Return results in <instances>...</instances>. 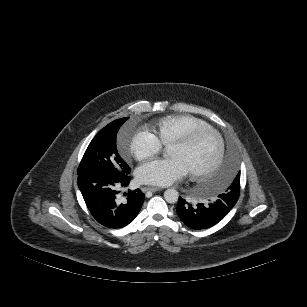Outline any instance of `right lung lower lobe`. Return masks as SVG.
I'll return each mask as SVG.
<instances>
[{
    "mask_svg": "<svg viewBox=\"0 0 307 307\" xmlns=\"http://www.w3.org/2000/svg\"><path fill=\"white\" fill-rule=\"evenodd\" d=\"M130 176H114L100 172L85 173L78 176V186L86 205L95 218L108 228H122L138 215L145 195L139 189L128 190L123 200L117 196L119 186H127Z\"/></svg>",
    "mask_w": 307,
    "mask_h": 307,
    "instance_id": "obj_1",
    "label": "right lung lower lobe"
}]
</instances>
